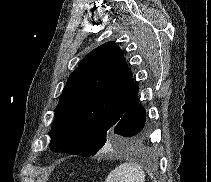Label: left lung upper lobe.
Listing matches in <instances>:
<instances>
[{"label":"left lung upper lobe","instance_id":"obj_1","mask_svg":"<svg viewBox=\"0 0 211 182\" xmlns=\"http://www.w3.org/2000/svg\"><path fill=\"white\" fill-rule=\"evenodd\" d=\"M122 50L106 42L92 50L69 76L55 109L50 148L72 155H95L137 98Z\"/></svg>","mask_w":211,"mask_h":182}]
</instances>
